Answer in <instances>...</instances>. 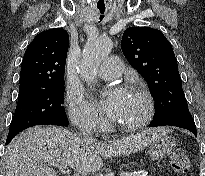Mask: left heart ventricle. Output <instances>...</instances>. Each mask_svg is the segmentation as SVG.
Here are the masks:
<instances>
[{"instance_id": "left-heart-ventricle-1", "label": "left heart ventricle", "mask_w": 205, "mask_h": 176, "mask_svg": "<svg viewBox=\"0 0 205 176\" xmlns=\"http://www.w3.org/2000/svg\"><path fill=\"white\" fill-rule=\"evenodd\" d=\"M145 109L144 100L136 93H132L115 119L119 123L133 124L144 116Z\"/></svg>"}]
</instances>
